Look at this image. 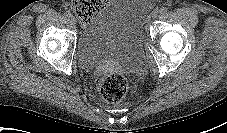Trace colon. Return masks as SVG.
Instances as JSON below:
<instances>
[{
  "instance_id": "colon-1",
  "label": "colon",
  "mask_w": 227,
  "mask_h": 133,
  "mask_svg": "<svg viewBox=\"0 0 227 133\" xmlns=\"http://www.w3.org/2000/svg\"><path fill=\"white\" fill-rule=\"evenodd\" d=\"M107 3V0H72V9L82 21L92 19ZM98 94L107 102L117 103L128 94L129 83L119 73H103L96 77Z\"/></svg>"
}]
</instances>
